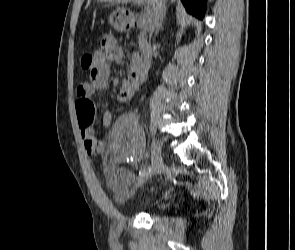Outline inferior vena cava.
Returning a JSON list of instances; mask_svg holds the SVG:
<instances>
[{
	"label": "inferior vena cava",
	"instance_id": "1",
	"mask_svg": "<svg viewBox=\"0 0 295 250\" xmlns=\"http://www.w3.org/2000/svg\"><path fill=\"white\" fill-rule=\"evenodd\" d=\"M164 13V6L163 2L162 3H157L155 10H154V22H153V27H158L160 19ZM153 52H155V46H153Z\"/></svg>",
	"mask_w": 295,
	"mask_h": 250
}]
</instances>
